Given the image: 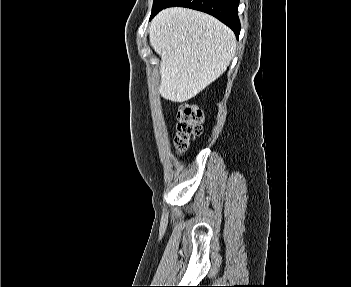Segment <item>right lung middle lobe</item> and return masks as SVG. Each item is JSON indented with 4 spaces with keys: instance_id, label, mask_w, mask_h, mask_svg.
Wrapping results in <instances>:
<instances>
[{
    "instance_id": "right-lung-middle-lobe-1",
    "label": "right lung middle lobe",
    "mask_w": 351,
    "mask_h": 287,
    "mask_svg": "<svg viewBox=\"0 0 351 287\" xmlns=\"http://www.w3.org/2000/svg\"><path fill=\"white\" fill-rule=\"evenodd\" d=\"M160 1H161V0H154L153 9L158 5V3H159Z\"/></svg>"
}]
</instances>
